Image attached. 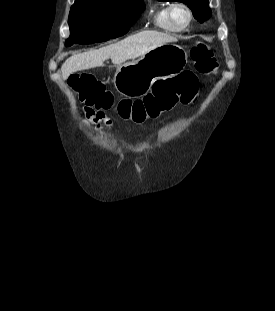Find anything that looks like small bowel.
<instances>
[{"instance_id": "small-bowel-1", "label": "small bowel", "mask_w": 275, "mask_h": 311, "mask_svg": "<svg viewBox=\"0 0 275 311\" xmlns=\"http://www.w3.org/2000/svg\"><path fill=\"white\" fill-rule=\"evenodd\" d=\"M85 114L88 118L97 122V127L99 130L110 129L111 122L108 119L104 118V114L101 112H94L91 108H86Z\"/></svg>"}]
</instances>
